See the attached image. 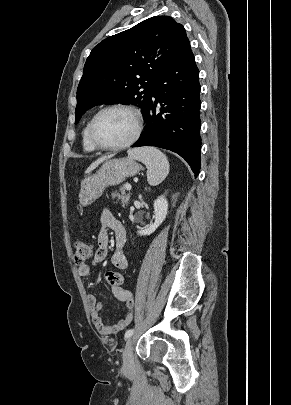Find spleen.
<instances>
[{
	"label": "spleen",
	"instance_id": "1",
	"mask_svg": "<svg viewBox=\"0 0 291 405\" xmlns=\"http://www.w3.org/2000/svg\"><path fill=\"white\" fill-rule=\"evenodd\" d=\"M129 158L138 160L147 167V180L152 186L160 184L169 173L167 157L154 147L136 148L128 151Z\"/></svg>",
	"mask_w": 291,
	"mask_h": 405
}]
</instances>
